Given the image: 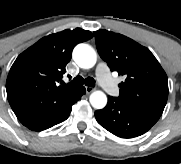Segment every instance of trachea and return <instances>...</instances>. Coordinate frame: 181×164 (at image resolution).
<instances>
[{
  "label": "trachea",
  "mask_w": 181,
  "mask_h": 164,
  "mask_svg": "<svg viewBox=\"0 0 181 164\" xmlns=\"http://www.w3.org/2000/svg\"><path fill=\"white\" fill-rule=\"evenodd\" d=\"M83 84L90 87H94L95 80L92 77H87L86 79H84L81 76H77L69 83V85H72V86H81Z\"/></svg>",
  "instance_id": "1"
}]
</instances>
